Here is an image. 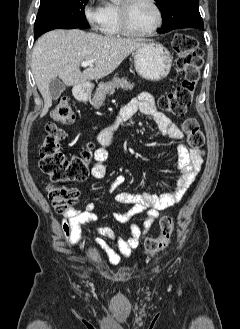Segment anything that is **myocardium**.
<instances>
[{
	"mask_svg": "<svg viewBox=\"0 0 240 329\" xmlns=\"http://www.w3.org/2000/svg\"><path fill=\"white\" fill-rule=\"evenodd\" d=\"M149 3L153 6L156 12L157 21L155 25L146 31H135L131 28L129 22V13L131 6L136 2V0H122L119 5V16H120V25L122 33L130 37H148L156 33L163 24V12L157 3L156 0H148Z\"/></svg>",
	"mask_w": 240,
	"mask_h": 329,
	"instance_id": "obj_1",
	"label": "myocardium"
}]
</instances>
